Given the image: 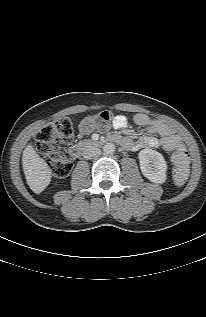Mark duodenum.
Segmentation results:
<instances>
[{
  "label": "duodenum",
  "instance_id": "duodenum-1",
  "mask_svg": "<svg viewBox=\"0 0 206 317\" xmlns=\"http://www.w3.org/2000/svg\"><path fill=\"white\" fill-rule=\"evenodd\" d=\"M105 140L108 141V142H120L121 141V137L116 136V135H111L108 138H106ZM100 142L101 141H99V140H92V141L85 142V143H82V144L74 145V146H72L70 148L69 153H70V155L73 158L78 159V158H80L82 156V154L86 150L97 146Z\"/></svg>",
  "mask_w": 206,
  "mask_h": 317
}]
</instances>
